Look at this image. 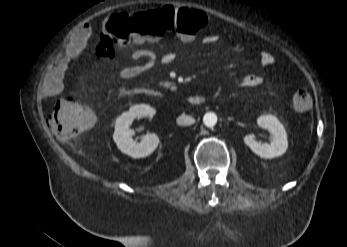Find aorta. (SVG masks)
Wrapping results in <instances>:
<instances>
[{
    "instance_id": "obj_1",
    "label": "aorta",
    "mask_w": 347,
    "mask_h": 247,
    "mask_svg": "<svg viewBox=\"0 0 347 247\" xmlns=\"http://www.w3.org/2000/svg\"><path fill=\"white\" fill-rule=\"evenodd\" d=\"M203 123L207 126V127H213L216 125L217 123V116L215 113L213 112H208L204 115L203 117Z\"/></svg>"
}]
</instances>
